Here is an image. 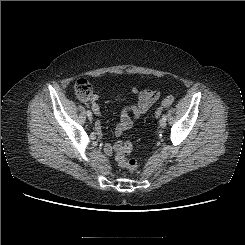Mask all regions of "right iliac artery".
Segmentation results:
<instances>
[{"label": "right iliac artery", "instance_id": "right-iliac-artery-1", "mask_svg": "<svg viewBox=\"0 0 245 245\" xmlns=\"http://www.w3.org/2000/svg\"><path fill=\"white\" fill-rule=\"evenodd\" d=\"M86 114H87V116H89V115H91L92 113H91L90 110H87Z\"/></svg>", "mask_w": 245, "mask_h": 245}]
</instances>
